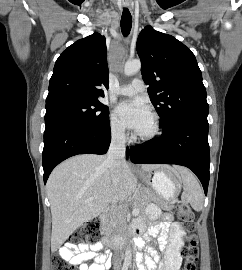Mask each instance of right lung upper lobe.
Listing matches in <instances>:
<instances>
[{"label":"right lung upper lobe","mask_w":242,"mask_h":270,"mask_svg":"<svg viewBox=\"0 0 242 270\" xmlns=\"http://www.w3.org/2000/svg\"><path fill=\"white\" fill-rule=\"evenodd\" d=\"M105 37L94 33L70 45L56 60L46 106L67 100H94L108 89Z\"/></svg>","instance_id":"cb5924a9"}]
</instances>
